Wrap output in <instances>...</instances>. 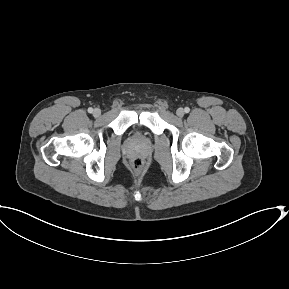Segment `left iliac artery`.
I'll return each instance as SVG.
<instances>
[{
	"instance_id": "left-iliac-artery-1",
	"label": "left iliac artery",
	"mask_w": 289,
	"mask_h": 289,
	"mask_svg": "<svg viewBox=\"0 0 289 289\" xmlns=\"http://www.w3.org/2000/svg\"><path fill=\"white\" fill-rule=\"evenodd\" d=\"M184 111H185V113H189L190 108L189 107H185Z\"/></svg>"
}]
</instances>
